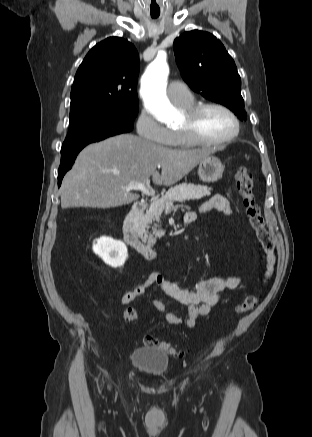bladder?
<instances>
[{"label": "bladder", "mask_w": 312, "mask_h": 437, "mask_svg": "<svg viewBox=\"0 0 312 437\" xmlns=\"http://www.w3.org/2000/svg\"><path fill=\"white\" fill-rule=\"evenodd\" d=\"M132 365L153 376L165 374L169 357L168 354L156 347H139L135 349L131 356Z\"/></svg>", "instance_id": "obj_1"}]
</instances>
